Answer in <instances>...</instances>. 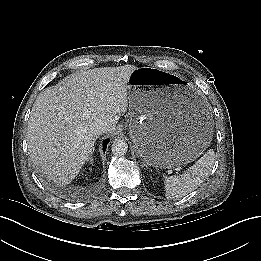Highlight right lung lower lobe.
<instances>
[{"label": "right lung lower lobe", "instance_id": "obj_1", "mask_svg": "<svg viewBox=\"0 0 261 261\" xmlns=\"http://www.w3.org/2000/svg\"><path fill=\"white\" fill-rule=\"evenodd\" d=\"M108 142H109V139L105 140V142H104V148H103L104 151H105V149H106V147H107Z\"/></svg>", "mask_w": 261, "mask_h": 261}]
</instances>
